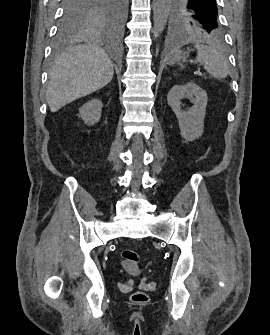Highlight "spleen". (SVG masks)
I'll return each mask as SVG.
<instances>
[{"label":"spleen","instance_id":"1","mask_svg":"<svg viewBox=\"0 0 270 335\" xmlns=\"http://www.w3.org/2000/svg\"><path fill=\"white\" fill-rule=\"evenodd\" d=\"M200 38L196 36H191L188 38L186 44H195L194 48L198 50V56L196 58L197 62L203 64L206 72L210 76H214L217 80H222L226 78L230 72L229 62L220 46V42H208V46L200 44ZM180 48V46H178ZM172 50L165 60L170 64V60H173L174 54H178L179 50Z\"/></svg>","mask_w":270,"mask_h":335}]
</instances>
